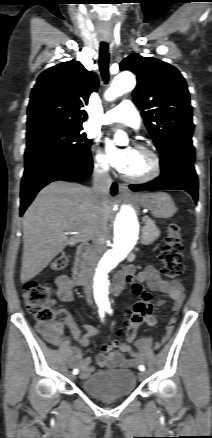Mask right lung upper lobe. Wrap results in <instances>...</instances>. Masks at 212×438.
I'll return each instance as SVG.
<instances>
[{
  "label": "right lung upper lobe",
  "instance_id": "obj_1",
  "mask_svg": "<svg viewBox=\"0 0 212 438\" xmlns=\"http://www.w3.org/2000/svg\"><path fill=\"white\" fill-rule=\"evenodd\" d=\"M98 78L75 60L62 62L40 74L32 89L27 128L43 125L82 127L87 113L82 108L97 91Z\"/></svg>",
  "mask_w": 212,
  "mask_h": 438
}]
</instances>
